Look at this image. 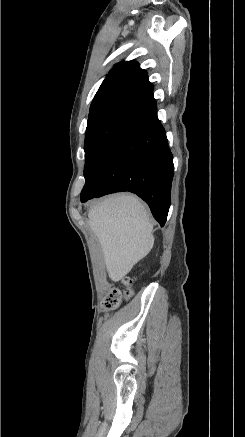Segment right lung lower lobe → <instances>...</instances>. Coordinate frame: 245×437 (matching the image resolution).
I'll return each instance as SVG.
<instances>
[{"instance_id":"right-lung-lower-lobe-1","label":"right lung lower lobe","mask_w":245,"mask_h":437,"mask_svg":"<svg viewBox=\"0 0 245 437\" xmlns=\"http://www.w3.org/2000/svg\"><path fill=\"white\" fill-rule=\"evenodd\" d=\"M173 157L157 109L143 112L110 146L86 180L81 201L129 191L142 198L163 226L170 207Z\"/></svg>"}]
</instances>
